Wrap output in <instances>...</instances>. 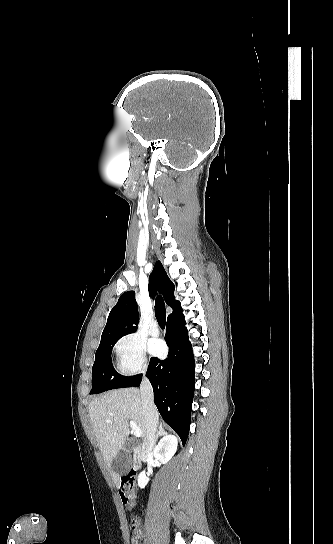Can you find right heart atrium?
Wrapping results in <instances>:
<instances>
[{
	"label": "right heart atrium",
	"instance_id": "right-heart-atrium-1",
	"mask_svg": "<svg viewBox=\"0 0 333 544\" xmlns=\"http://www.w3.org/2000/svg\"><path fill=\"white\" fill-rule=\"evenodd\" d=\"M114 355L117 370L121 375L132 376L147 370L144 342L134 333L126 334L116 341Z\"/></svg>",
	"mask_w": 333,
	"mask_h": 544
}]
</instances>
